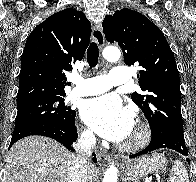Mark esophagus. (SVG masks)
Instances as JSON below:
<instances>
[{
	"label": "esophagus",
	"mask_w": 196,
	"mask_h": 182,
	"mask_svg": "<svg viewBox=\"0 0 196 182\" xmlns=\"http://www.w3.org/2000/svg\"><path fill=\"white\" fill-rule=\"evenodd\" d=\"M92 40L97 43V45L102 48L105 44V37L101 26H94L92 29ZM98 160L102 164H108L111 161V157L104 151H99L97 153Z\"/></svg>",
	"instance_id": "obj_1"
}]
</instances>
